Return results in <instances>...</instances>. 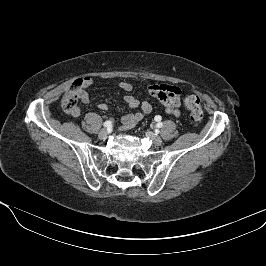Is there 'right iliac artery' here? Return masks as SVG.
<instances>
[{"label": "right iliac artery", "mask_w": 266, "mask_h": 266, "mask_svg": "<svg viewBox=\"0 0 266 266\" xmlns=\"http://www.w3.org/2000/svg\"><path fill=\"white\" fill-rule=\"evenodd\" d=\"M111 126H112V122L111 121L104 122V127L110 128Z\"/></svg>", "instance_id": "82829eb1"}]
</instances>
